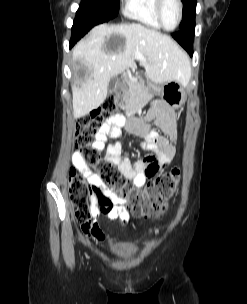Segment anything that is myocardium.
<instances>
[{
  "instance_id": "1",
  "label": "myocardium",
  "mask_w": 247,
  "mask_h": 304,
  "mask_svg": "<svg viewBox=\"0 0 247 304\" xmlns=\"http://www.w3.org/2000/svg\"><path fill=\"white\" fill-rule=\"evenodd\" d=\"M178 8H179V15H178V20L176 25L173 28H167L163 22V18H162V9H163V5L165 0H156V4H155V12H156V17L158 22L160 23L161 27L164 30L167 31H173L175 29H177L179 27V25L181 24L182 18H183V3L182 0H175Z\"/></svg>"
}]
</instances>
